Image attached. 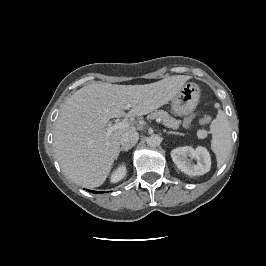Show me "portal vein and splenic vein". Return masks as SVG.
Segmentation results:
<instances>
[{"instance_id":"obj_1","label":"portal vein and splenic vein","mask_w":266,"mask_h":266,"mask_svg":"<svg viewBox=\"0 0 266 266\" xmlns=\"http://www.w3.org/2000/svg\"><path fill=\"white\" fill-rule=\"evenodd\" d=\"M131 108L130 104H127L125 106L126 110H129ZM157 122L161 123L162 120L160 118L156 119ZM130 126V123L127 120H123L120 122H116L114 125H108L107 127L104 128L106 131V135L109 136L112 132L120 129H126Z\"/></svg>"}]
</instances>
